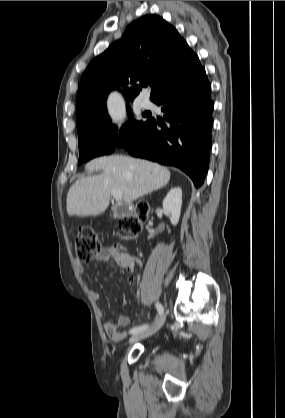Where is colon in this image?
Listing matches in <instances>:
<instances>
[{
	"label": "colon",
	"mask_w": 285,
	"mask_h": 418,
	"mask_svg": "<svg viewBox=\"0 0 285 418\" xmlns=\"http://www.w3.org/2000/svg\"><path fill=\"white\" fill-rule=\"evenodd\" d=\"M148 206L145 203L136 206L131 216L120 219V227L125 233H138L142 229V223L146 220ZM76 258L79 262L87 263L99 250V237L89 227L81 228L74 238ZM133 265L138 266V263Z\"/></svg>",
	"instance_id": "obj_1"
}]
</instances>
